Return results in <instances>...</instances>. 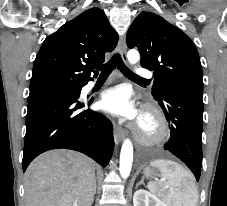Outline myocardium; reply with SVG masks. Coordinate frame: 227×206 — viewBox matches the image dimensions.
I'll use <instances>...</instances> for the list:
<instances>
[{"instance_id":"f54148a6","label":"myocardium","mask_w":227,"mask_h":206,"mask_svg":"<svg viewBox=\"0 0 227 206\" xmlns=\"http://www.w3.org/2000/svg\"><path fill=\"white\" fill-rule=\"evenodd\" d=\"M144 121L150 124L149 130L144 129ZM168 135L169 128L164 113L157 106L148 105L135 131L137 141L147 146L158 145L164 142Z\"/></svg>"}]
</instances>
